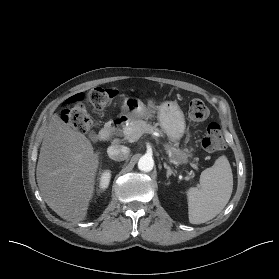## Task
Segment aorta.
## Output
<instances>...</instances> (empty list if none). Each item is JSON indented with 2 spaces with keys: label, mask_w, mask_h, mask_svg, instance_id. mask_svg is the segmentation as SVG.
<instances>
[{
  "label": "aorta",
  "mask_w": 279,
  "mask_h": 279,
  "mask_svg": "<svg viewBox=\"0 0 279 279\" xmlns=\"http://www.w3.org/2000/svg\"><path fill=\"white\" fill-rule=\"evenodd\" d=\"M154 167V160L152 156L143 155L138 161V168L141 171L149 172Z\"/></svg>",
  "instance_id": "1"
}]
</instances>
